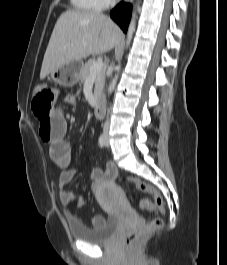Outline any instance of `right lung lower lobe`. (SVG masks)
Wrapping results in <instances>:
<instances>
[{
    "label": "right lung lower lobe",
    "instance_id": "obj_1",
    "mask_svg": "<svg viewBox=\"0 0 227 265\" xmlns=\"http://www.w3.org/2000/svg\"><path fill=\"white\" fill-rule=\"evenodd\" d=\"M110 15L122 30L126 32L131 17V6L121 2L111 11Z\"/></svg>",
    "mask_w": 227,
    "mask_h": 265
}]
</instances>
